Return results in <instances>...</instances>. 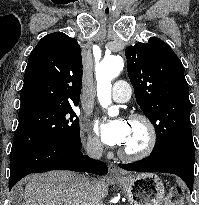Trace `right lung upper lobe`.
<instances>
[{
	"label": "right lung upper lobe",
	"mask_w": 199,
	"mask_h": 205,
	"mask_svg": "<svg viewBox=\"0 0 199 205\" xmlns=\"http://www.w3.org/2000/svg\"><path fill=\"white\" fill-rule=\"evenodd\" d=\"M82 73L78 42L62 32L46 35L29 55L20 111L42 105L78 104Z\"/></svg>",
	"instance_id": "1"
}]
</instances>
